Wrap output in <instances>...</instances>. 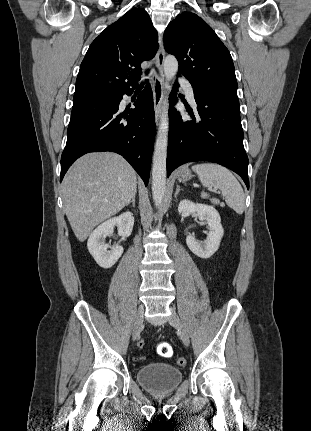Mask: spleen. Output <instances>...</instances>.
Instances as JSON below:
<instances>
[{"label":"spleen","mask_w":311,"mask_h":431,"mask_svg":"<svg viewBox=\"0 0 311 431\" xmlns=\"http://www.w3.org/2000/svg\"><path fill=\"white\" fill-rule=\"evenodd\" d=\"M191 170L197 174L204 188H218L224 200L236 214H243L245 210V196L235 176L218 164H196ZM201 198H209V194L202 192Z\"/></svg>","instance_id":"obj_1"}]
</instances>
